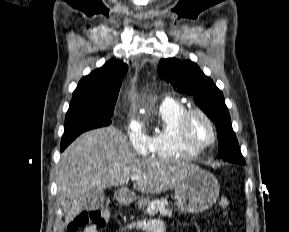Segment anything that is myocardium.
Returning <instances> with one entry per match:
<instances>
[{"mask_svg":"<svg viewBox=\"0 0 289 232\" xmlns=\"http://www.w3.org/2000/svg\"><path fill=\"white\" fill-rule=\"evenodd\" d=\"M194 116H200L203 118L207 124L210 127L211 130V139L206 142L205 144H196L194 143L190 137H189V123L192 117ZM178 135L181 140V142L188 148L196 151L201 152L211 145L214 144V142L217 139V130L214 122L212 119L201 109L198 108H191L187 109L180 117L178 122Z\"/></svg>","mask_w":289,"mask_h":232,"instance_id":"obj_1","label":"myocardium"}]
</instances>
